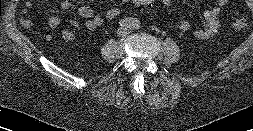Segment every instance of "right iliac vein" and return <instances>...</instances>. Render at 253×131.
<instances>
[{
  "label": "right iliac vein",
  "instance_id": "63e3f726",
  "mask_svg": "<svg viewBox=\"0 0 253 131\" xmlns=\"http://www.w3.org/2000/svg\"><path fill=\"white\" fill-rule=\"evenodd\" d=\"M122 33H123V31H120V32H119V34H122Z\"/></svg>",
  "mask_w": 253,
  "mask_h": 131
}]
</instances>
